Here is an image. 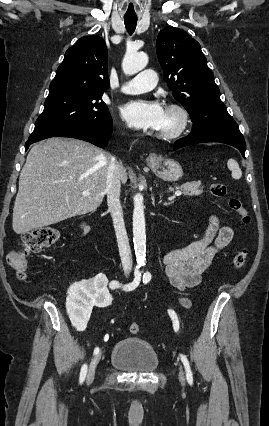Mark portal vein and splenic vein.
Wrapping results in <instances>:
<instances>
[{
    "label": "portal vein and splenic vein",
    "mask_w": 269,
    "mask_h": 426,
    "mask_svg": "<svg viewBox=\"0 0 269 426\" xmlns=\"http://www.w3.org/2000/svg\"><path fill=\"white\" fill-rule=\"evenodd\" d=\"M181 194H182V192H181V191H179V190L175 192V195H176V196H180ZM82 195H84V196H88V195H90L89 190H85V191H83V192H82Z\"/></svg>",
    "instance_id": "1"
}]
</instances>
